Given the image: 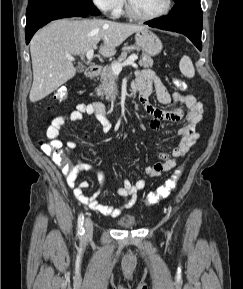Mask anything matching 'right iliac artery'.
I'll return each mask as SVG.
<instances>
[{"label": "right iliac artery", "mask_w": 243, "mask_h": 289, "mask_svg": "<svg viewBox=\"0 0 243 289\" xmlns=\"http://www.w3.org/2000/svg\"><path fill=\"white\" fill-rule=\"evenodd\" d=\"M83 225H84V216L81 213L78 217V235L80 237H82L84 235V232H85Z\"/></svg>", "instance_id": "1"}]
</instances>
